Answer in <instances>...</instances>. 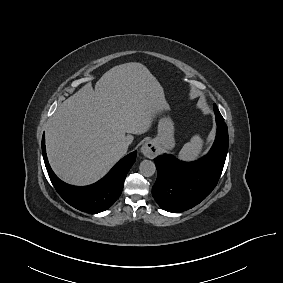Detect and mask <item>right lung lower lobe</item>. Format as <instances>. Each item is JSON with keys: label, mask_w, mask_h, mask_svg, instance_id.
I'll return each mask as SVG.
<instances>
[{"label": "right lung lower lobe", "mask_w": 283, "mask_h": 283, "mask_svg": "<svg viewBox=\"0 0 283 283\" xmlns=\"http://www.w3.org/2000/svg\"><path fill=\"white\" fill-rule=\"evenodd\" d=\"M42 153L50 180L59 195L74 208L96 214L110 208L120 196L128 171L136 160V151L121 159L110 172L95 184L76 187L62 182L52 171L46 155L45 137Z\"/></svg>", "instance_id": "98d812e1"}]
</instances>
